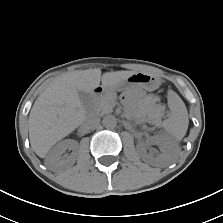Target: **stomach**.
<instances>
[{"mask_svg":"<svg viewBox=\"0 0 223 223\" xmlns=\"http://www.w3.org/2000/svg\"><path fill=\"white\" fill-rule=\"evenodd\" d=\"M161 85V80L151 74L137 72L129 76L125 81H122L114 86L106 87L101 86L103 92L112 91H128L133 88H142L147 91H154Z\"/></svg>","mask_w":223,"mask_h":223,"instance_id":"0dacf381","label":"stomach"}]
</instances>
